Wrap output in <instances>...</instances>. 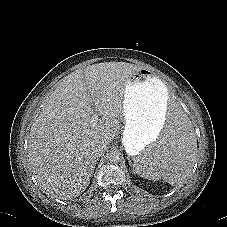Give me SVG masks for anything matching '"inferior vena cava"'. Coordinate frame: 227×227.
<instances>
[{
	"mask_svg": "<svg viewBox=\"0 0 227 227\" xmlns=\"http://www.w3.org/2000/svg\"><path fill=\"white\" fill-rule=\"evenodd\" d=\"M106 149H107V145L104 142L96 144L93 147V156L95 158L103 156L105 151H106Z\"/></svg>",
	"mask_w": 227,
	"mask_h": 227,
	"instance_id": "inferior-vena-cava-1",
	"label": "inferior vena cava"
}]
</instances>
